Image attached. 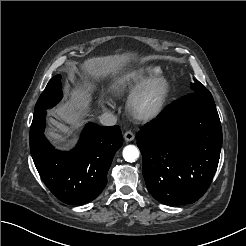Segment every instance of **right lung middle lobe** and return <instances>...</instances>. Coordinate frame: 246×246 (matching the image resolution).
I'll return each instance as SVG.
<instances>
[{
    "label": "right lung middle lobe",
    "mask_w": 246,
    "mask_h": 246,
    "mask_svg": "<svg viewBox=\"0 0 246 246\" xmlns=\"http://www.w3.org/2000/svg\"><path fill=\"white\" fill-rule=\"evenodd\" d=\"M61 75L54 76L40 95L34 111L46 110L56 105L62 98Z\"/></svg>",
    "instance_id": "dd1d6c3e"
}]
</instances>
